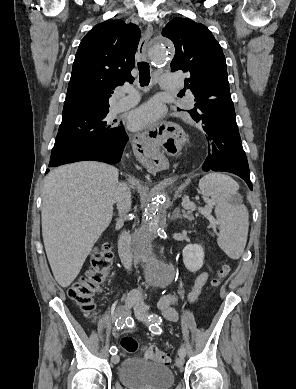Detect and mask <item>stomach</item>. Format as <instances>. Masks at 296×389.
<instances>
[{
	"label": "stomach",
	"instance_id": "obj_1",
	"mask_svg": "<svg viewBox=\"0 0 296 389\" xmlns=\"http://www.w3.org/2000/svg\"><path fill=\"white\" fill-rule=\"evenodd\" d=\"M152 175L157 176L160 174L161 169H150Z\"/></svg>",
	"mask_w": 296,
	"mask_h": 389
}]
</instances>
